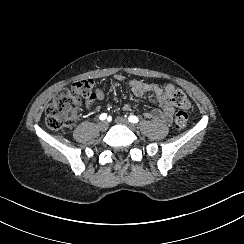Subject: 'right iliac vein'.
<instances>
[{"label": "right iliac vein", "instance_id": "obj_1", "mask_svg": "<svg viewBox=\"0 0 244 244\" xmlns=\"http://www.w3.org/2000/svg\"><path fill=\"white\" fill-rule=\"evenodd\" d=\"M108 126H109V124H108L107 121H101V122H99V124H98V127H99V129H100L101 131H106V130L108 129Z\"/></svg>", "mask_w": 244, "mask_h": 244}]
</instances>
